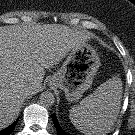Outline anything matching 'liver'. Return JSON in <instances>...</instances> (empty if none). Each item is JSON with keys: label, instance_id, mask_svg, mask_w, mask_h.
I'll return each instance as SVG.
<instances>
[{"label": "liver", "instance_id": "6515ba94", "mask_svg": "<svg viewBox=\"0 0 135 135\" xmlns=\"http://www.w3.org/2000/svg\"><path fill=\"white\" fill-rule=\"evenodd\" d=\"M86 41L85 33L60 25L0 27V129L14 122L28 95L39 92L45 69Z\"/></svg>", "mask_w": 135, "mask_h": 135}]
</instances>
